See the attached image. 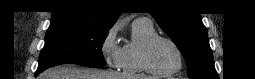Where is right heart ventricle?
<instances>
[{"label":"right heart ventricle","mask_w":255,"mask_h":79,"mask_svg":"<svg viewBox=\"0 0 255 79\" xmlns=\"http://www.w3.org/2000/svg\"><path fill=\"white\" fill-rule=\"evenodd\" d=\"M154 35L155 29L152 24L132 23L131 40L121 48L120 67L124 73L130 75L147 73L141 62V51L144 43Z\"/></svg>","instance_id":"1"}]
</instances>
